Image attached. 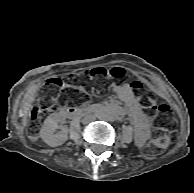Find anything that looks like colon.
Returning <instances> with one entry per match:
<instances>
[{
  "instance_id": "1",
  "label": "colon",
  "mask_w": 194,
  "mask_h": 193,
  "mask_svg": "<svg viewBox=\"0 0 194 193\" xmlns=\"http://www.w3.org/2000/svg\"><path fill=\"white\" fill-rule=\"evenodd\" d=\"M126 76L127 70L125 68L113 66L109 68L96 67L86 71L81 76L71 74L64 79L58 77L49 78L44 84L37 104L30 115L28 125L30 138L37 139L44 119L56 111L60 105H66L73 97L92 95V91L82 87L81 83L95 80L100 88L106 85V80L108 79L122 80ZM131 87L135 91L144 90V85L140 80H134L131 83ZM97 92H100V89H97ZM138 102L149 117L161 120L154 127L153 137L144 149L146 155H158L163 152L174 138L175 123L172 119V110L167 104L157 102L150 94L140 96Z\"/></svg>"
}]
</instances>
